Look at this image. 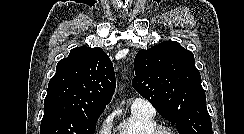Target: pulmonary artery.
Listing matches in <instances>:
<instances>
[{
  "label": "pulmonary artery",
  "instance_id": "obj_1",
  "mask_svg": "<svg viewBox=\"0 0 244 134\" xmlns=\"http://www.w3.org/2000/svg\"><path fill=\"white\" fill-rule=\"evenodd\" d=\"M131 110L140 111L150 115H154L155 113L154 107L147 100L143 98H135L132 101Z\"/></svg>",
  "mask_w": 244,
  "mask_h": 134
}]
</instances>
